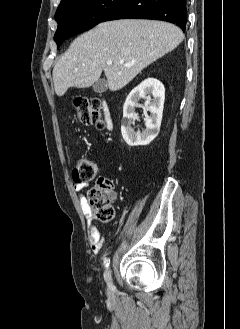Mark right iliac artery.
<instances>
[{
  "label": "right iliac artery",
  "instance_id": "1",
  "mask_svg": "<svg viewBox=\"0 0 240 329\" xmlns=\"http://www.w3.org/2000/svg\"><path fill=\"white\" fill-rule=\"evenodd\" d=\"M109 264H110V259L109 258H105L104 259V265H105V267H108Z\"/></svg>",
  "mask_w": 240,
  "mask_h": 329
}]
</instances>
